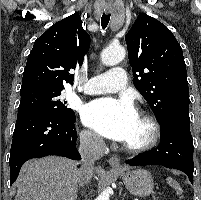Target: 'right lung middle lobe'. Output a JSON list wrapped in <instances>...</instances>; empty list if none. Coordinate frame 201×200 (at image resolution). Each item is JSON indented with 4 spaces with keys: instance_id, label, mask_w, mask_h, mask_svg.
Masks as SVG:
<instances>
[{
    "instance_id": "dd1d6c3e",
    "label": "right lung middle lobe",
    "mask_w": 201,
    "mask_h": 200,
    "mask_svg": "<svg viewBox=\"0 0 201 200\" xmlns=\"http://www.w3.org/2000/svg\"><path fill=\"white\" fill-rule=\"evenodd\" d=\"M62 91H30L21 93L18 116L32 112H49L63 118H73L72 109L65 106L66 102L60 99Z\"/></svg>"
}]
</instances>
